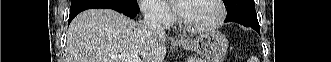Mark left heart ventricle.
I'll use <instances>...</instances> for the list:
<instances>
[{"label":"left heart ventricle","instance_id":"b2bd125f","mask_svg":"<svg viewBox=\"0 0 331 62\" xmlns=\"http://www.w3.org/2000/svg\"><path fill=\"white\" fill-rule=\"evenodd\" d=\"M180 14L189 24L203 25L215 20L218 8L213 0H190L183 3Z\"/></svg>","mask_w":331,"mask_h":62}]
</instances>
